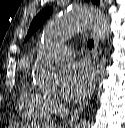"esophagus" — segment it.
I'll list each match as a JSON object with an SVG mask.
<instances>
[{
	"mask_svg": "<svg viewBox=\"0 0 125 128\" xmlns=\"http://www.w3.org/2000/svg\"><path fill=\"white\" fill-rule=\"evenodd\" d=\"M93 39H94V46H93V50H92V61H93V66H94V81H93V85L91 87V90H90L86 100L74 112V114L72 115L71 119L68 121L67 125H72L78 120L80 114L82 113V111L85 109V107L87 106V104L91 100V98L93 96V93L95 91V88H96V84H97V80H98V76H99V57H98L99 40L95 35H93Z\"/></svg>",
	"mask_w": 125,
	"mask_h": 128,
	"instance_id": "obj_1",
	"label": "esophagus"
}]
</instances>
